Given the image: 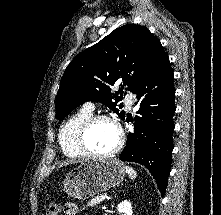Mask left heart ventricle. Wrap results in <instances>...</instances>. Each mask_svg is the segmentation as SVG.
Listing matches in <instances>:
<instances>
[{"mask_svg": "<svg viewBox=\"0 0 221 215\" xmlns=\"http://www.w3.org/2000/svg\"><path fill=\"white\" fill-rule=\"evenodd\" d=\"M115 127L106 121L93 125L86 137L88 148L95 153H105L111 150L117 142Z\"/></svg>", "mask_w": 221, "mask_h": 215, "instance_id": "b2bd125f", "label": "left heart ventricle"}]
</instances>
